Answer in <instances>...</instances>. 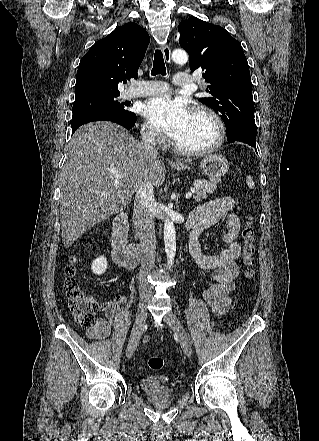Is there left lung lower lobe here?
Returning a JSON list of instances; mask_svg holds the SVG:
<instances>
[{
    "label": "left lung lower lobe",
    "instance_id": "0a47b994",
    "mask_svg": "<svg viewBox=\"0 0 319 441\" xmlns=\"http://www.w3.org/2000/svg\"><path fill=\"white\" fill-rule=\"evenodd\" d=\"M256 133H252L249 131H240L235 133L234 135L227 137L228 143H232V142H243L246 143L252 147H254L256 149ZM257 152V150H256Z\"/></svg>",
    "mask_w": 319,
    "mask_h": 441
}]
</instances>
